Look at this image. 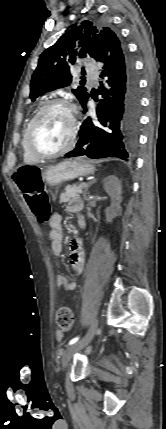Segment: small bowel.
Wrapping results in <instances>:
<instances>
[{
    "instance_id": "c3829d8e",
    "label": "small bowel",
    "mask_w": 166,
    "mask_h": 429,
    "mask_svg": "<svg viewBox=\"0 0 166 429\" xmlns=\"http://www.w3.org/2000/svg\"><path fill=\"white\" fill-rule=\"evenodd\" d=\"M82 201L81 199L75 197L72 198L67 206V211L72 214L79 215V223L80 225H84V220L81 216L82 211ZM61 216L59 213H53L50 218V230H49V240L50 247L53 255L55 257L60 256L62 252V227H61ZM85 266V254L83 251L82 242L78 238H74L70 242V267L75 275V277L79 276ZM56 285L58 288H62L63 290L70 292L76 287V278L68 279L64 275H58L56 277ZM55 337L58 341H62L64 338V333L61 330H57Z\"/></svg>"
}]
</instances>
